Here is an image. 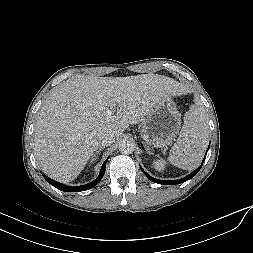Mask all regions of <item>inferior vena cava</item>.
Returning a JSON list of instances; mask_svg holds the SVG:
<instances>
[{
    "mask_svg": "<svg viewBox=\"0 0 253 253\" xmlns=\"http://www.w3.org/2000/svg\"><path fill=\"white\" fill-rule=\"evenodd\" d=\"M115 140V135L109 131H101L98 135V141L101 146H108Z\"/></svg>",
    "mask_w": 253,
    "mask_h": 253,
    "instance_id": "602c4592",
    "label": "inferior vena cava"
}]
</instances>
